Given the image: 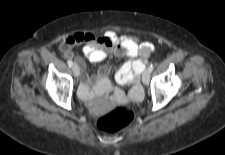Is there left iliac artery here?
<instances>
[{"label":"left iliac artery","instance_id":"44dca946","mask_svg":"<svg viewBox=\"0 0 225 155\" xmlns=\"http://www.w3.org/2000/svg\"><path fill=\"white\" fill-rule=\"evenodd\" d=\"M153 69H154V65L153 64H150L149 67H148L149 72H152Z\"/></svg>","mask_w":225,"mask_h":155}]
</instances>
